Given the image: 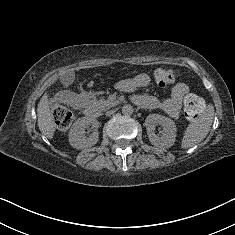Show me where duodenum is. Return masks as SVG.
Here are the masks:
<instances>
[{"label":"duodenum","instance_id":"410a0bca","mask_svg":"<svg viewBox=\"0 0 235 235\" xmlns=\"http://www.w3.org/2000/svg\"><path fill=\"white\" fill-rule=\"evenodd\" d=\"M86 115L88 117H91V118L97 117L98 112H97L96 107H94V106H92L90 104H87V106H86Z\"/></svg>","mask_w":235,"mask_h":235}]
</instances>
